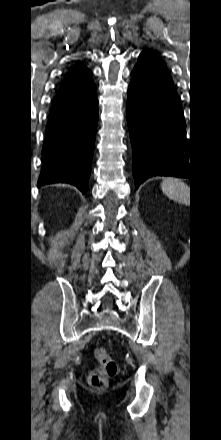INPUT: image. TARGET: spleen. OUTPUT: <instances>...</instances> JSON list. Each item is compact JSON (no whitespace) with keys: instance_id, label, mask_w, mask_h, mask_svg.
<instances>
[{"instance_id":"1","label":"spleen","mask_w":221,"mask_h":440,"mask_svg":"<svg viewBox=\"0 0 221 440\" xmlns=\"http://www.w3.org/2000/svg\"><path fill=\"white\" fill-rule=\"evenodd\" d=\"M163 193L170 199L187 205L189 203V187L177 178L168 177L161 183Z\"/></svg>"}]
</instances>
